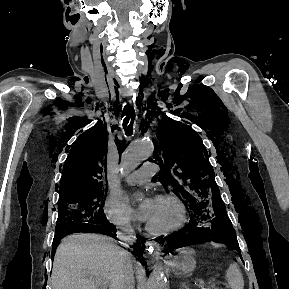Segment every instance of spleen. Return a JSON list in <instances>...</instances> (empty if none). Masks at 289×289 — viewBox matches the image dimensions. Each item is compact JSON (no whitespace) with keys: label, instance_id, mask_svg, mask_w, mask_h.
Here are the masks:
<instances>
[{"label":"spleen","instance_id":"1","mask_svg":"<svg viewBox=\"0 0 289 289\" xmlns=\"http://www.w3.org/2000/svg\"><path fill=\"white\" fill-rule=\"evenodd\" d=\"M226 280L231 289H243L244 280L236 263H231L226 271Z\"/></svg>","mask_w":289,"mask_h":289}]
</instances>
